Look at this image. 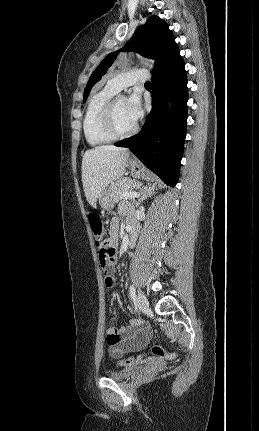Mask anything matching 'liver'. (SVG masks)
Segmentation results:
<instances>
[{
  "label": "liver",
  "mask_w": 259,
  "mask_h": 431,
  "mask_svg": "<svg viewBox=\"0 0 259 431\" xmlns=\"http://www.w3.org/2000/svg\"><path fill=\"white\" fill-rule=\"evenodd\" d=\"M129 155L126 148L112 145L98 146L85 152L82 183L85 197L93 208L103 190L124 175Z\"/></svg>",
  "instance_id": "6515ba94"
}]
</instances>
